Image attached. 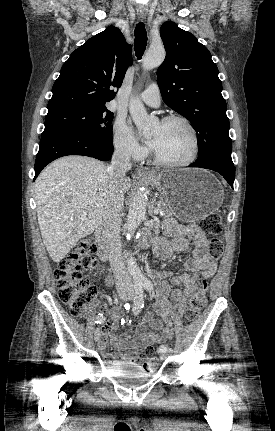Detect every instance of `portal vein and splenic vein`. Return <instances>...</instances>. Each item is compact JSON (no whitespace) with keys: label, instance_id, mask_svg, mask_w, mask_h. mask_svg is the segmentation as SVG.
Masks as SVG:
<instances>
[{"label":"portal vein and splenic vein","instance_id":"portal-vein-and-splenic-vein-1","mask_svg":"<svg viewBox=\"0 0 275 431\" xmlns=\"http://www.w3.org/2000/svg\"><path fill=\"white\" fill-rule=\"evenodd\" d=\"M159 213H160L159 209H155V210H154V214H156V215H157V214H159Z\"/></svg>","mask_w":275,"mask_h":431}]
</instances>
